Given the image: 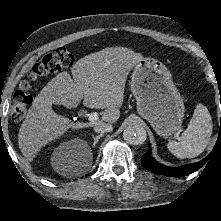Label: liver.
Masks as SVG:
<instances>
[{
    "mask_svg": "<svg viewBox=\"0 0 221 221\" xmlns=\"http://www.w3.org/2000/svg\"><path fill=\"white\" fill-rule=\"evenodd\" d=\"M142 59V54L128 48L108 47L78 60L71 68L73 79L65 71L52 78L33 101L19 129L18 144L24 158L32 162L41 147L69 128L92 127L99 122L116 123L124 101L127 76ZM82 100L86 107L105 109L101 120L72 123L52 109L53 104L76 108Z\"/></svg>",
    "mask_w": 221,
    "mask_h": 221,
    "instance_id": "obj_1",
    "label": "liver"
}]
</instances>
